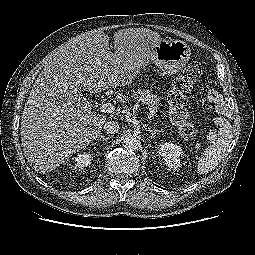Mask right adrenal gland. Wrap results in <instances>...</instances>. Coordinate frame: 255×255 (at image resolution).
<instances>
[{
    "mask_svg": "<svg viewBox=\"0 0 255 255\" xmlns=\"http://www.w3.org/2000/svg\"><path fill=\"white\" fill-rule=\"evenodd\" d=\"M97 138L98 139L102 138L103 140L107 141V140H109L111 138V136L106 137L104 135H98Z\"/></svg>",
    "mask_w": 255,
    "mask_h": 255,
    "instance_id": "right-adrenal-gland-1",
    "label": "right adrenal gland"
}]
</instances>
